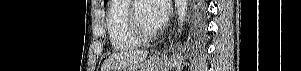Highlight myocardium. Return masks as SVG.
I'll list each match as a JSON object with an SVG mask.
<instances>
[{
  "instance_id": "myocardium-1",
  "label": "myocardium",
  "mask_w": 301,
  "mask_h": 71,
  "mask_svg": "<svg viewBox=\"0 0 301 71\" xmlns=\"http://www.w3.org/2000/svg\"><path fill=\"white\" fill-rule=\"evenodd\" d=\"M144 0H133L130 1L128 11H127V21L129 29L132 34L141 42H147L156 38L159 34V30L148 31L142 27L137 18V6L140 2Z\"/></svg>"
}]
</instances>
